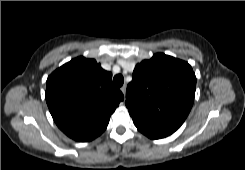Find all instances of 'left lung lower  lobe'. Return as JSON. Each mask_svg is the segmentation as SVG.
<instances>
[{"instance_id":"0a47b994","label":"left lung lower lobe","mask_w":245,"mask_h":170,"mask_svg":"<svg viewBox=\"0 0 245 170\" xmlns=\"http://www.w3.org/2000/svg\"><path fill=\"white\" fill-rule=\"evenodd\" d=\"M137 129L151 139H160L171 135L173 132L151 127L137 121H133Z\"/></svg>"}]
</instances>
